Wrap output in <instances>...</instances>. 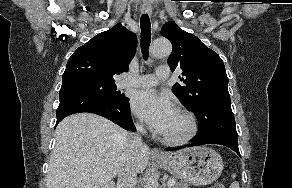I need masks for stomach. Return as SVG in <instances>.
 Here are the masks:
<instances>
[{"label":"stomach","instance_id":"0dacf381","mask_svg":"<svg viewBox=\"0 0 292 188\" xmlns=\"http://www.w3.org/2000/svg\"><path fill=\"white\" fill-rule=\"evenodd\" d=\"M155 161L182 182L196 186L214 182L223 171L221 156L205 146L186 148Z\"/></svg>","mask_w":292,"mask_h":188}]
</instances>
